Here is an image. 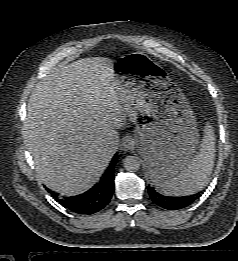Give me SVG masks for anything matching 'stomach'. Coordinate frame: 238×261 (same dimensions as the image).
Listing matches in <instances>:
<instances>
[{"instance_id":"1","label":"stomach","mask_w":238,"mask_h":261,"mask_svg":"<svg viewBox=\"0 0 238 261\" xmlns=\"http://www.w3.org/2000/svg\"><path fill=\"white\" fill-rule=\"evenodd\" d=\"M117 91L135 124L134 141L155 183L182 171L199 140L194 113L168 73L142 54L114 61Z\"/></svg>"}]
</instances>
